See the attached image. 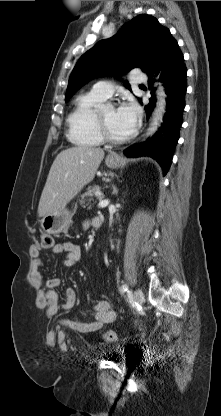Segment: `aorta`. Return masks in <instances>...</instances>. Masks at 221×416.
I'll return each mask as SVG.
<instances>
[{"instance_id": "obj_1", "label": "aorta", "mask_w": 221, "mask_h": 416, "mask_svg": "<svg viewBox=\"0 0 221 416\" xmlns=\"http://www.w3.org/2000/svg\"><path fill=\"white\" fill-rule=\"evenodd\" d=\"M165 92L162 86H159L158 90H157V103H156V109L154 112V116H153V120L152 123L150 125V127L147 129V137L153 135L161 121H162V117L163 114L165 113V109H166V101H165Z\"/></svg>"}]
</instances>
